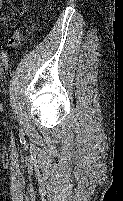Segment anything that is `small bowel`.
<instances>
[{
	"instance_id": "small-bowel-1",
	"label": "small bowel",
	"mask_w": 123,
	"mask_h": 201,
	"mask_svg": "<svg viewBox=\"0 0 123 201\" xmlns=\"http://www.w3.org/2000/svg\"><path fill=\"white\" fill-rule=\"evenodd\" d=\"M2 4L3 1L0 0V11L2 9ZM21 39H22L21 31L19 29H15L11 37L10 46L15 49L18 48L19 44L21 43Z\"/></svg>"
}]
</instances>
